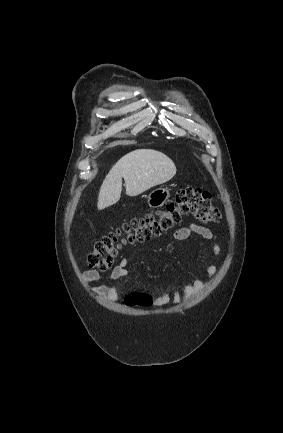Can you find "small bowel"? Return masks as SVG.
Returning <instances> with one entry per match:
<instances>
[{"instance_id": "obj_1", "label": "small bowel", "mask_w": 283, "mask_h": 433, "mask_svg": "<svg viewBox=\"0 0 283 433\" xmlns=\"http://www.w3.org/2000/svg\"><path fill=\"white\" fill-rule=\"evenodd\" d=\"M196 235L206 240L212 249V254L217 256L220 253L221 247L217 242V235L210 229L195 224L190 223L185 227H181L175 230L172 234V237L176 241H183L191 236ZM128 259L122 258L118 265H116L113 270L104 277L97 270L91 269L84 272V280L86 283L96 282L103 279H108L110 281H117L119 279L125 278L129 275V271L127 269ZM205 275L208 279H211L216 274V267L214 265H208L205 267ZM206 285V282L201 279H194L192 282L185 284L181 289L174 287L169 291L156 296L153 299V302L156 305H166L168 303H173L175 305H179L183 299H190L197 293H199ZM93 293L99 295L109 301H116L118 299V291L117 287L114 284H102L99 286H95L92 288Z\"/></svg>"}]
</instances>
